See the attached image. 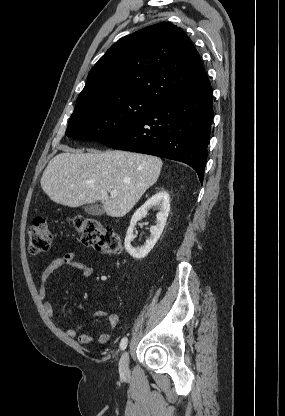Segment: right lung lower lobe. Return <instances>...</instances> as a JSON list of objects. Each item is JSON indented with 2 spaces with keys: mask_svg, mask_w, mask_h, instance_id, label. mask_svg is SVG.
<instances>
[{
  "mask_svg": "<svg viewBox=\"0 0 285 416\" xmlns=\"http://www.w3.org/2000/svg\"><path fill=\"white\" fill-rule=\"evenodd\" d=\"M212 120L209 84L158 105L133 125L99 142L113 149L184 162L202 183Z\"/></svg>",
  "mask_w": 285,
  "mask_h": 416,
  "instance_id": "98d812e1",
  "label": "right lung lower lobe"
}]
</instances>
